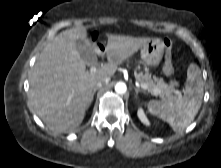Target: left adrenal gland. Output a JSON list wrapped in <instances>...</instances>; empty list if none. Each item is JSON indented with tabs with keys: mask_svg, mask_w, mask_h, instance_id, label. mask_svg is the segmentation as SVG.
Segmentation results:
<instances>
[{
	"mask_svg": "<svg viewBox=\"0 0 221 168\" xmlns=\"http://www.w3.org/2000/svg\"><path fill=\"white\" fill-rule=\"evenodd\" d=\"M134 90H135V92H136V95H137L139 92L145 93L144 90H141V89H139V88H137V87H134Z\"/></svg>",
	"mask_w": 221,
	"mask_h": 168,
	"instance_id": "obj_1",
	"label": "left adrenal gland"
}]
</instances>
